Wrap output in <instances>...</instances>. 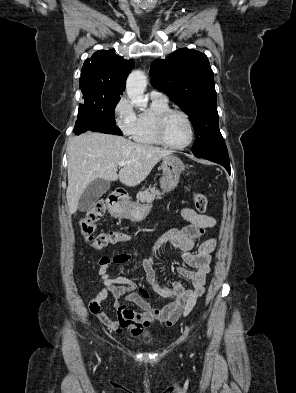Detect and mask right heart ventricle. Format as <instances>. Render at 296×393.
I'll use <instances>...</instances> for the list:
<instances>
[{
  "label": "right heart ventricle",
  "mask_w": 296,
  "mask_h": 393,
  "mask_svg": "<svg viewBox=\"0 0 296 393\" xmlns=\"http://www.w3.org/2000/svg\"><path fill=\"white\" fill-rule=\"evenodd\" d=\"M169 109L168 102L151 98L149 108L137 116V126L133 136L134 140L146 146L161 145L156 134L157 120L162 113Z\"/></svg>",
  "instance_id": "1"
}]
</instances>
